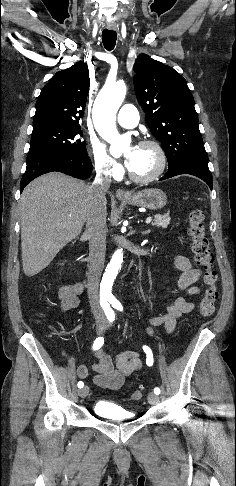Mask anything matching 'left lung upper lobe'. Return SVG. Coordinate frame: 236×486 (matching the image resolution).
<instances>
[{
	"label": "left lung upper lobe",
	"mask_w": 236,
	"mask_h": 486,
	"mask_svg": "<svg viewBox=\"0 0 236 486\" xmlns=\"http://www.w3.org/2000/svg\"><path fill=\"white\" fill-rule=\"evenodd\" d=\"M134 72L137 100L151 133L161 142L168 169L182 164L208 167L194 98L186 80L146 54L138 56Z\"/></svg>",
	"instance_id": "5c2ea615"
}]
</instances>
